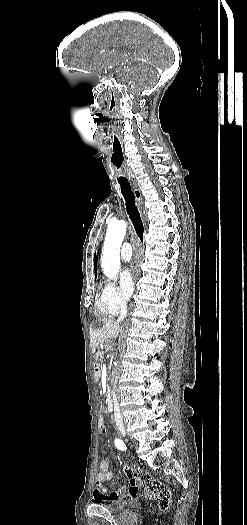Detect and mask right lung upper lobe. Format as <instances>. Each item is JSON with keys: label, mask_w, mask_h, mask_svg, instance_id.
<instances>
[{"label": "right lung upper lobe", "mask_w": 247, "mask_h": 525, "mask_svg": "<svg viewBox=\"0 0 247 525\" xmlns=\"http://www.w3.org/2000/svg\"><path fill=\"white\" fill-rule=\"evenodd\" d=\"M96 263H97V258H96V254L94 255V269H95V275H96Z\"/></svg>", "instance_id": "1"}]
</instances>
